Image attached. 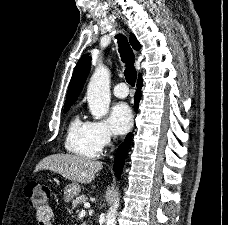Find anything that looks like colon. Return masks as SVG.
Wrapping results in <instances>:
<instances>
[{"mask_svg":"<svg viewBox=\"0 0 228 225\" xmlns=\"http://www.w3.org/2000/svg\"><path fill=\"white\" fill-rule=\"evenodd\" d=\"M25 195L30 202L31 207L38 211H46L49 207V191L46 186L39 183H30L25 190Z\"/></svg>","mask_w":228,"mask_h":225,"instance_id":"5ec220e1","label":"colon"}]
</instances>
